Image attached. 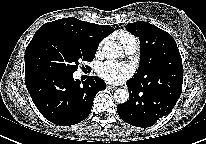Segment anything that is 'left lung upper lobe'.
<instances>
[{"label":"left lung upper lobe","instance_id":"obj_1","mask_svg":"<svg viewBox=\"0 0 206 144\" xmlns=\"http://www.w3.org/2000/svg\"><path fill=\"white\" fill-rule=\"evenodd\" d=\"M126 28L140 40V65L132 81L149 87L183 82L182 59L169 33L144 21L128 23Z\"/></svg>","mask_w":206,"mask_h":144}]
</instances>
